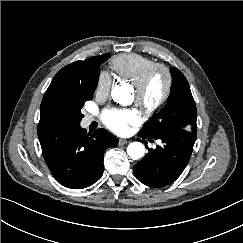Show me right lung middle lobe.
Masks as SVG:
<instances>
[{
    "instance_id": "dd1d6c3e",
    "label": "right lung middle lobe",
    "mask_w": 243,
    "mask_h": 243,
    "mask_svg": "<svg viewBox=\"0 0 243 243\" xmlns=\"http://www.w3.org/2000/svg\"><path fill=\"white\" fill-rule=\"evenodd\" d=\"M110 54H104L99 64L106 61ZM97 87L93 85L89 88L73 89L64 92L50 102L47 108L49 120L53 125H78L83 118L81 108L85 101L92 99Z\"/></svg>"
}]
</instances>
